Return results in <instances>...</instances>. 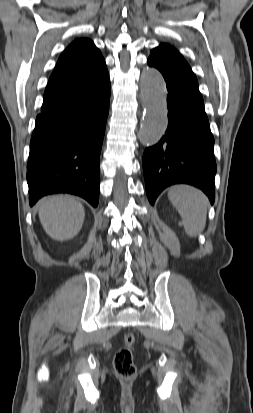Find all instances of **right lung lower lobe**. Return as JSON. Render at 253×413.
<instances>
[{"mask_svg":"<svg viewBox=\"0 0 253 413\" xmlns=\"http://www.w3.org/2000/svg\"><path fill=\"white\" fill-rule=\"evenodd\" d=\"M109 100L108 75L96 92L37 116L27 165L31 206L53 193L75 194L98 205Z\"/></svg>","mask_w":253,"mask_h":413,"instance_id":"obj_1","label":"right lung lower lobe"}]
</instances>
